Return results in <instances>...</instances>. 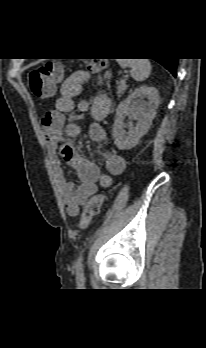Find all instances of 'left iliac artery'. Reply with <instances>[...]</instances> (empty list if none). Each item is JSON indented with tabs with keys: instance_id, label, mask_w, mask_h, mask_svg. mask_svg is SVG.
Here are the masks:
<instances>
[{
	"instance_id": "obj_1",
	"label": "left iliac artery",
	"mask_w": 206,
	"mask_h": 348,
	"mask_svg": "<svg viewBox=\"0 0 206 348\" xmlns=\"http://www.w3.org/2000/svg\"><path fill=\"white\" fill-rule=\"evenodd\" d=\"M75 268L77 271V280L79 283H83L84 282V273H83V256L81 255L76 264H75Z\"/></svg>"
}]
</instances>
